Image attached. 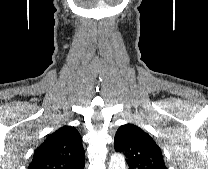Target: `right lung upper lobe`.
Returning a JSON list of instances; mask_svg holds the SVG:
<instances>
[{"instance_id": "right-lung-upper-lobe-1", "label": "right lung upper lobe", "mask_w": 208, "mask_h": 169, "mask_svg": "<svg viewBox=\"0 0 208 169\" xmlns=\"http://www.w3.org/2000/svg\"><path fill=\"white\" fill-rule=\"evenodd\" d=\"M84 165L82 138L75 127L65 125L36 149L28 169H80Z\"/></svg>"}]
</instances>
